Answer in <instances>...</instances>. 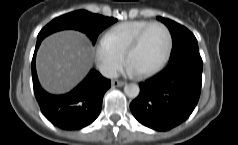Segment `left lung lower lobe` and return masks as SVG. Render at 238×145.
<instances>
[{
  "mask_svg": "<svg viewBox=\"0 0 238 145\" xmlns=\"http://www.w3.org/2000/svg\"><path fill=\"white\" fill-rule=\"evenodd\" d=\"M202 58L199 50L170 60L153 78L140 83V94L130 104L134 117L143 125L167 131L188 119L201 91Z\"/></svg>",
  "mask_w": 238,
  "mask_h": 145,
  "instance_id": "0a47b994",
  "label": "left lung lower lobe"
}]
</instances>
